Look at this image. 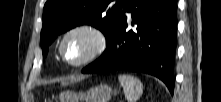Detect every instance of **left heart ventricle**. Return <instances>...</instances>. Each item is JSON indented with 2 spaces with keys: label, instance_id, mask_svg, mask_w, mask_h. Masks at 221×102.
Listing matches in <instances>:
<instances>
[{
  "label": "left heart ventricle",
  "instance_id": "obj_1",
  "mask_svg": "<svg viewBox=\"0 0 221 102\" xmlns=\"http://www.w3.org/2000/svg\"><path fill=\"white\" fill-rule=\"evenodd\" d=\"M91 46L90 39L83 34L71 36L65 44L64 54L68 61L76 62L82 59Z\"/></svg>",
  "mask_w": 221,
  "mask_h": 102
}]
</instances>
